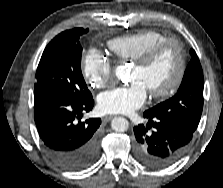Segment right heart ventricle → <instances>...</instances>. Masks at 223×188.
<instances>
[{
    "instance_id": "1",
    "label": "right heart ventricle",
    "mask_w": 223,
    "mask_h": 188,
    "mask_svg": "<svg viewBox=\"0 0 223 188\" xmlns=\"http://www.w3.org/2000/svg\"><path fill=\"white\" fill-rule=\"evenodd\" d=\"M164 39L166 36L161 32L145 29L112 38L107 42V47L118 59L133 61L148 48Z\"/></svg>"
}]
</instances>
